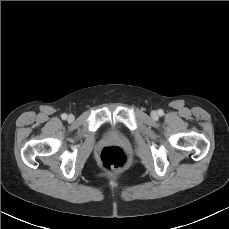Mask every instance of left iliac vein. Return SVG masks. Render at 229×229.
<instances>
[{"mask_svg":"<svg viewBox=\"0 0 229 229\" xmlns=\"http://www.w3.org/2000/svg\"><path fill=\"white\" fill-rule=\"evenodd\" d=\"M151 116L156 119L158 117V114L156 111H152Z\"/></svg>","mask_w":229,"mask_h":229,"instance_id":"4c4485c4","label":"left iliac vein"}]
</instances>
